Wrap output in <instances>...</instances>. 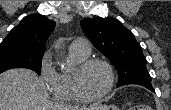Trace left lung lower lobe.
Wrapping results in <instances>:
<instances>
[{
    "label": "left lung lower lobe",
    "instance_id": "obj_1",
    "mask_svg": "<svg viewBox=\"0 0 171 110\" xmlns=\"http://www.w3.org/2000/svg\"><path fill=\"white\" fill-rule=\"evenodd\" d=\"M146 88L149 89V90L152 91V92H155V90L153 89L152 86H147Z\"/></svg>",
    "mask_w": 171,
    "mask_h": 110
}]
</instances>
